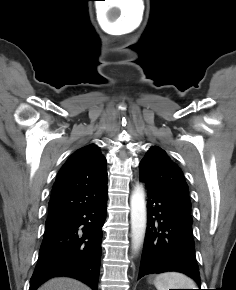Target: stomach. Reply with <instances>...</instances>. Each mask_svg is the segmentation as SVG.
<instances>
[{"label":"stomach","mask_w":236,"mask_h":290,"mask_svg":"<svg viewBox=\"0 0 236 290\" xmlns=\"http://www.w3.org/2000/svg\"><path fill=\"white\" fill-rule=\"evenodd\" d=\"M148 281H149L150 283H151V282H154V280H153L151 277L149 278Z\"/></svg>","instance_id":"0dacf381"}]
</instances>
